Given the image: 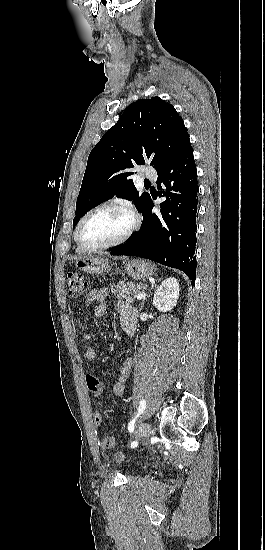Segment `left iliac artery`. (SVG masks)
<instances>
[{
  "mask_svg": "<svg viewBox=\"0 0 265 550\" xmlns=\"http://www.w3.org/2000/svg\"><path fill=\"white\" fill-rule=\"evenodd\" d=\"M145 408H146V401H145V399H142V400L140 401V405H139V408H138V413H137V415H136L135 418L128 424V430H129V432H133V431H134L135 419H136L137 417H139L140 414L143 413V411L145 410ZM137 445H138L137 441H133V442L130 444V447H131V448H135V447H137Z\"/></svg>",
  "mask_w": 265,
  "mask_h": 550,
  "instance_id": "44dca946",
  "label": "left iliac artery"
}]
</instances>
